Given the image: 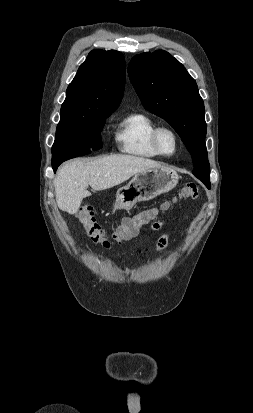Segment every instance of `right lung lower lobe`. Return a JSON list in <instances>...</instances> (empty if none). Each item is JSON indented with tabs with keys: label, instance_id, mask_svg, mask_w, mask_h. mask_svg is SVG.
Instances as JSON below:
<instances>
[{
	"label": "right lung lower lobe",
	"instance_id": "1",
	"mask_svg": "<svg viewBox=\"0 0 253 413\" xmlns=\"http://www.w3.org/2000/svg\"><path fill=\"white\" fill-rule=\"evenodd\" d=\"M59 165H60V164H53V165H52V168H53L54 172H56V170H57V168H58Z\"/></svg>",
	"mask_w": 253,
	"mask_h": 413
}]
</instances>
